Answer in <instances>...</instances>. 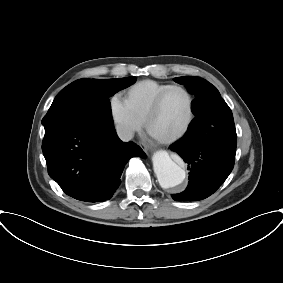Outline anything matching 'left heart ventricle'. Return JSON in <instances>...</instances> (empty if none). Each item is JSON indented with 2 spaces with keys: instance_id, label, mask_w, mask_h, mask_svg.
<instances>
[{
  "instance_id": "obj_1",
  "label": "left heart ventricle",
  "mask_w": 283,
  "mask_h": 283,
  "mask_svg": "<svg viewBox=\"0 0 283 283\" xmlns=\"http://www.w3.org/2000/svg\"><path fill=\"white\" fill-rule=\"evenodd\" d=\"M188 111L189 101L185 92L181 90L170 91L150 124L151 134L156 137L173 135L184 125Z\"/></svg>"
}]
</instances>
